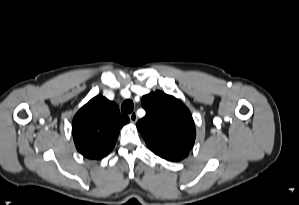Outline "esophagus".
Returning a JSON list of instances; mask_svg holds the SVG:
<instances>
[{"instance_id": "esophagus-1", "label": "esophagus", "mask_w": 299, "mask_h": 205, "mask_svg": "<svg viewBox=\"0 0 299 205\" xmlns=\"http://www.w3.org/2000/svg\"><path fill=\"white\" fill-rule=\"evenodd\" d=\"M129 118H130V121H131L132 123L137 122V119H138L137 114H136L135 112H132V113L129 115Z\"/></svg>"}]
</instances>
